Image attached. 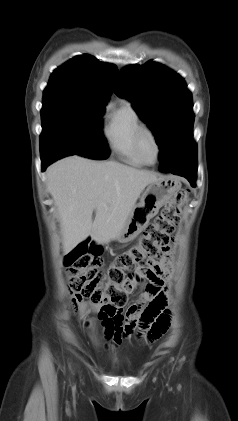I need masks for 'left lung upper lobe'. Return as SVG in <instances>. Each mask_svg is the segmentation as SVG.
<instances>
[{
  "instance_id": "left-lung-upper-lobe-1",
  "label": "left lung upper lobe",
  "mask_w": 238,
  "mask_h": 421,
  "mask_svg": "<svg viewBox=\"0 0 238 421\" xmlns=\"http://www.w3.org/2000/svg\"><path fill=\"white\" fill-rule=\"evenodd\" d=\"M114 92L131 101L160 148V170L168 172L196 157L192 95L183 78L152 61L129 65Z\"/></svg>"
}]
</instances>
